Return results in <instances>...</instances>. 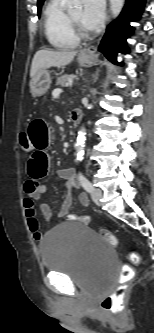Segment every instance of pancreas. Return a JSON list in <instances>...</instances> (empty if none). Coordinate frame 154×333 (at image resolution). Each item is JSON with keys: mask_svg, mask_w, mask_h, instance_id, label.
<instances>
[{"mask_svg": "<svg viewBox=\"0 0 154 333\" xmlns=\"http://www.w3.org/2000/svg\"><path fill=\"white\" fill-rule=\"evenodd\" d=\"M75 78H76V75H69V74L61 75L60 77H57L56 85L63 86V87L67 86L68 82L72 81Z\"/></svg>", "mask_w": 154, "mask_h": 333, "instance_id": "pancreas-1", "label": "pancreas"}]
</instances>
